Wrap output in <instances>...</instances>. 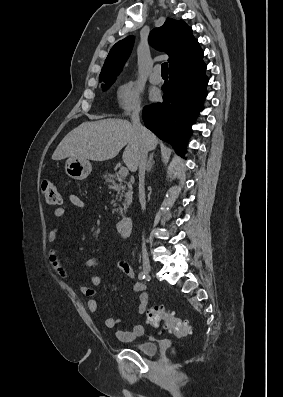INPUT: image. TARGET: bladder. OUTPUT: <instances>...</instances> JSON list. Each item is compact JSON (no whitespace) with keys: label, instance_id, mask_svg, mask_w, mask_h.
<instances>
[{"label":"bladder","instance_id":"obj_1","mask_svg":"<svg viewBox=\"0 0 283 397\" xmlns=\"http://www.w3.org/2000/svg\"><path fill=\"white\" fill-rule=\"evenodd\" d=\"M158 347L159 345L157 341H146L133 345L132 349L145 355H153L157 352Z\"/></svg>","mask_w":283,"mask_h":397}]
</instances>
